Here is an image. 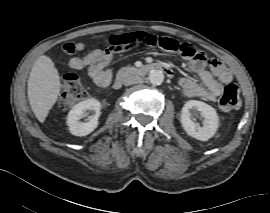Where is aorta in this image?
Here are the masks:
<instances>
[{
	"mask_svg": "<svg viewBox=\"0 0 270 213\" xmlns=\"http://www.w3.org/2000/svg\"><path fill=\"white\" fill-rule=\"evenodd\" d=\"M149 81L152 85H161L164 81V74L161 70L155 69L149 73Z\"/></svg>",
	"mask_w": 270,
	"mask_h": 213,
	"instance_id": "762f6f07",
	"label": "aorta"
}]
</instances>
